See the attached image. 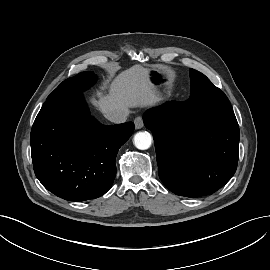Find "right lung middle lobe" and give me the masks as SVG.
Instances as JSON below:
<instances>
[{
  "instance_id": "1",
  "label": "right lung middle lobe",
  "mask_w": 270,
  "mask_h": 270,
  "mask_svg": "<svg viewBox=\"0 0 270 270\" xmlns=\"http://www.w3.org/2000/svg\"><path fill=\"white\" fill-rule=\"evenodd\" d=\"M97 76L92 72H83L63 81L48 97L46 102L63 101L80 95L96 82Z\"/></svg>"
}]
</instances>
